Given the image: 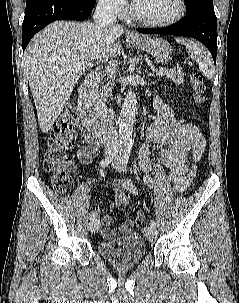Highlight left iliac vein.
<instances>
[{
  "mask_svg": "<svg viewBox=\"0 0 239 303\" xmlns=\"http://www.w3.org/2000/svg\"><path fill=\"white\" fill-rule=\"evenodd\" d=\"M111 165L118 172H121L123 170V167L121 166L118 157L111 158ZM144 234H145L146 238L151 242L155 241L157 238V231H156L155 226L150 225V226L145 227Z\"/></svg>",
  "mask_w": 239,
  "mask_h": 303,
  "instance_id": "4c4485c4",
  "label": "left iliac vein"
}]
</instances>
